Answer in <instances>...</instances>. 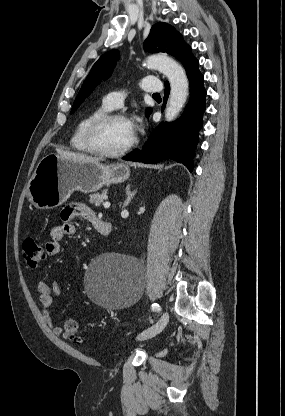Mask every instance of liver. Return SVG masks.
<instances>
[{"label": "liver", "instance_id": "6515ba94", "mask_svg": "<svg viewBox=\"0 0 285 416\" xmlns=\"http://www.w3.org/2000/svg\"><path fill=\"white\" fill-rule=\"evenodd\" d=\"M57 154L66 158V160H78V162H100L101 158H93V156H87V154H79V152H64L56 148Z\"/></svg>", "mask_w": 285, "mask_h": 416}]
</instances>
